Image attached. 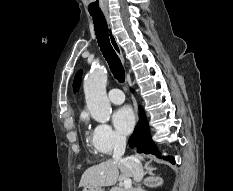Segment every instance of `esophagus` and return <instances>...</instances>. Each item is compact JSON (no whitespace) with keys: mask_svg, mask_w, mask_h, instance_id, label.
Masks as SVG:
<instances>
[{"mask_svg":"<svg viewBox=\"0 0 233 191\" xmlns=\"http://www.w3.org/2000/svg\"><path fill=\"white\" fill-rule=\"evenodd\" d=\"M105 19H106V22H107V25H108L109 41L111 43V46L113 47V49L115 50L116 54L121 59V61L124 62L123 54H122L121 48L119 46V43H118V41L116 39V36L114 34L113 27H112V24H111V21H110V17H109L108 14H105ZM133 105H134L136 113H138L137 104H136L135 101H133ZM137 117H138V115H137ZM132 150L133 151H138L139 147L138 146H133Z\"/></svg>","mask_w":233,"mask_h":191,"instance_id":"34e87169","label":"esophagus"}]
</instances>
